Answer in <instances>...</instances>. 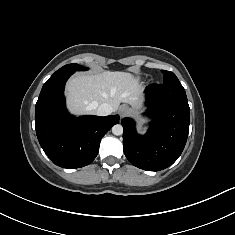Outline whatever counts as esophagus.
<instances>
[{"instance_id":"obj_1","label":"esophagus","mask_w":235,"mask_h":235,"mask_svg":"<svg viewBox=\"0 0 235 235\" xmlns=\"http://www.w3.org/2000/svg\"><path fill=\"white\" fill-rule=\"evenodd\" d=\"M129 110H130V108L127 105H122L119 108V113L121 115H125V114H127L129 112Z\"/></svg>"}]
</instances>
